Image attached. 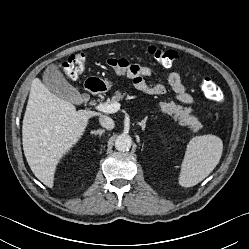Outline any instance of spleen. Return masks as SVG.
Masks as SVG:
<instances>
[{
    "label": "spleen",
    "instance_id": "obj_1",
    "mask_svg": "<svg viewBox=\"0 0 249 249\" xmlns=\"http://www.w3.org/2000/svg\"><path fill=\"white\" fill-rule=\"evenodd\" d=\"M222 151L223 142L215 135L191 139L182 162L179 184L192 187L204 180L219 163Z\"/></svg>",
    "mask_w": 249,
    "mask_h": 249
}]
</instances>
